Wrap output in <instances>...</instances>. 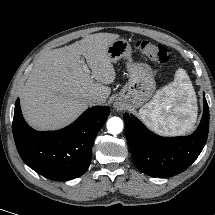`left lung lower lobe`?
<instances>
[{
	"label": "left lung lower lobe",
	"mask_w": 215,
	"mask_h": 215,
	"mask_svg": "<svg viewBox=\"0 0 215 215\" xmlns=\"http://www.w3.org/2000/svg\"><path fill=\"white\" fill-rule=\"evenodd\" d=\"M126 138L137 168L155 177H168L186 170L201 153L209 131V109L204 111L196 131L183 137H160L149 131L135 116L124 114Z\"/></svg>",
	"instance_id": "left-lung-lower-lobe-1"
}]
</instances>
